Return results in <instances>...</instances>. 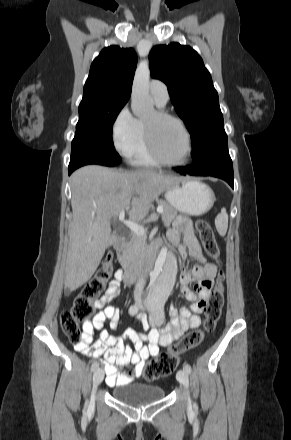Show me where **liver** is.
Returning a JSON list of instances; mask_svg holds the SVG:
<instances>
[{"mask_svg":"<svg viewBox=\"0 0 291 440\" xmlns=\"http://www.w3.org/2000/svg\"><path fill=\"white\" fill-rule=\"evenodd\" d=\"M181 178L152 170L121 172L84 166L71 176L72 221L65 288L74 291L95 273L105 250L117 241L111 219L126 210L129 219H145L152 202Z\"/></svg>","mask_w":291,"mask_h":440,"instance_id":"1","label":"liver"}]
</instances>
